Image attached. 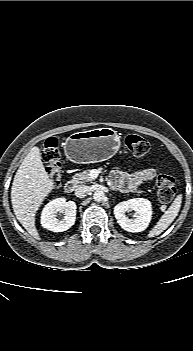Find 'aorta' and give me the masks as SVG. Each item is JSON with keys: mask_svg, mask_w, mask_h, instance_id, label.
Masks as SVG:
<instances>
[{"mask_svg": "<svg viewBox=\"0 0 193 351\" xmlns=\"http://www.w3.org/2000/svg\"><path fill=\"white\" fill-rule=\"evenodd\" d=\"M93 199L96 202H101L105 199V193L103 191L97 190L93 194Z\"/></svg>", "mask_w": 193, "mask_h": 351, "instance_id": "aorta-1", "label": "aorta"}]
</instances>
